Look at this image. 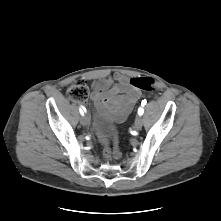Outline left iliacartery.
Instances as JSON below:
<instances>
[{
    "mask_svg": "<svg viewBox=\"0 0 221 221\" xmlns=\"http://www.w3.org/2000/svg\"><path fill=\"white\" fill-rule=\"evenodd\" d=\"M141 105H142V106L146 105V100H143L142 103H141ZM143 113H144V109H143L142 107H140V108L138 109V114L141 116V115H143Z\"/></svg>",
    "mask_w": 221,
    "mask_h": 221,
    "instance_id": "44dca946",
    "label": "left iliac artery"
}]
</instances>
